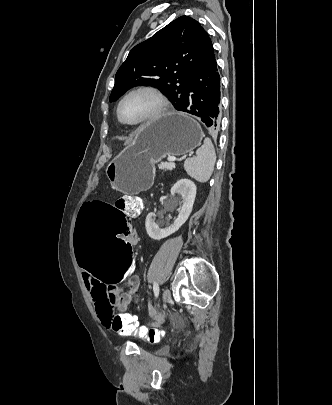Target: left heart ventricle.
Instances as JSON below:
<instances>
[{
    "label": "left heart ventricle",
    "mask_w": 332,
    "mask_h": 405,
    "mask_svg": "<svg viewBox=\"0 0 332 405\" xmlns=\"http://www.w3.org/2000/svg\"><path fill=\"white\" fill-rule=\"evenodd\" d=\"M158 102L149 92H137L127 97L122 106V117L127 121H137L152 114Z\"/></svg>",
    "instance_id": "left-heart-ventricle-1"
}]
</instances>
